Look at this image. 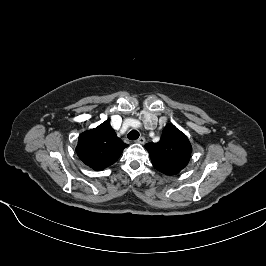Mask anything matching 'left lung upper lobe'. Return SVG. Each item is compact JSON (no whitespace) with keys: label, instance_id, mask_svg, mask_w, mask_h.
Instances as JSON below:
<instances>
[{"label":"left lung upper lobe","instance_id":"5c2ea615","mask_svg":"<svg viewBox=\"0 0 266 266\" xmlns=\"http://www.w3.org/2000/svg\"><path fill=\"white\" fill-rule=\"evenodd\" d=\"M153 166L166 175H177L189 163L191 144L188 138L173 124L165 126L158 143H148Z\"/></svg>","mask_w":266,"mask_h":266}]
</instances>
